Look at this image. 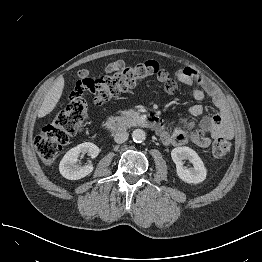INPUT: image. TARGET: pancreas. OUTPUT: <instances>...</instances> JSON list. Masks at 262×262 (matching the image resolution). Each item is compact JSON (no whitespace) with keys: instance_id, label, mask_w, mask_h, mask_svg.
Instances as JSON below:
<instances>
[{"instance_id":"1","label":"pancreas","mask_w":262,"mask_h":262,"mask_svg":"<svg viewBox=\"0 0 262 262\" xmlns=\"http://www.w3.org/2000/svg\"><path fill=\"white\" fill-rule=\"evenodd\" d=\"M123 114L124 117L126 118H134L137 117V113L133 112V111H123L121 112Z\"/></svg>"}]
</instances>
